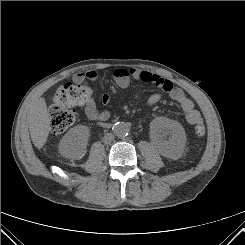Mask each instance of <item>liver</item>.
<instances>
[{"instance_id": "obj_1", "label": "liver", "mask_w": 245, "mask_h": 245, "mask_svg": "<svg viewBox=\"0 0 245 245\" xmlns=\"http://www.w3.org/2000/svg\"><path fill=\"white\" fill-rule=\"evenodd\" d=\"M51 120L44 98L36 100L29 115V131L34 146L41 149L47 141Z\"/></svg>"}]
</instances>
